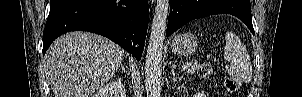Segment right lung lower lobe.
<instances>
[{
    "label": "right lung lower lobe",
    "instance_id": "98d812e1",
    "mask_svg": "<svg viewBox=\"0 0 302 97\" xmlns=\"http://www.w3.org/2000/svg\"><path fill=\"white\" fill-rule=\"evenodd\" d=\"M148 19V0H50L43 55L61 34L84 30L109 38L139 61Z\"/></svg>",
    "mask_w": 302,
    "mask_h": 97
}]
</instances>
